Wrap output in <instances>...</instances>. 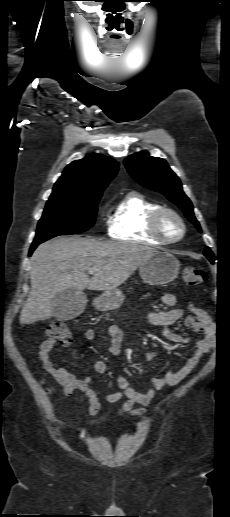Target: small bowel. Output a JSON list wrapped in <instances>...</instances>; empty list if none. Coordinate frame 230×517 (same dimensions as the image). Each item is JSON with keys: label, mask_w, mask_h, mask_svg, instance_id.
Segmentation results:
<instances>
[{"label": "small bowel", "mask_w": 230, "mask_h": 517, "mask_svg": "<svg viewBox=\"0 0 230 517\" xmlns=\"http://www.w3.org/2000/svg\"><path fill=\"white\" fill-rule=\"evenodd\" d=\"M161 302L168 306L169 309L150 314L149 323L160 328L161 335L166 340L181 345L188 344L191 341L190 337L183 336L169 329L171 324L182 318H184V325L196 334L201 335L202 338L195 342L193 353L180 369L169 371L164 376L154 377L151 380V388L145 391H137L123 374H119L117 377V384L121 389L120 392L103 393L95 389L94 381L91 377H78L59 366L50 358V353L57 345V341L51 337L41 343L40 349L36 354V360L41 362L43 368L62 386L65 396H71L76 390L84 393L88 400L89 413L92 417H97L101 413L102 399L109 403H116L122 398L126 399L122 405L123 412L133 416H141L146 411L145 407L151 404L157 391L165 387H175L183 382L216 345V325L205 310L189 302L187 305L189 314L185 316L184 309L174 307L176 297L173 294L163 295ZM107 334L110 339L107 351L118 358L121 353L124 331L121 327L113 325L108 328ZM94 337L95 333L92 329L87 328L83 331L84 340L89 341L94 339ZM65 343L67 344V342ZM156 357L157 352L155 351H150L146 355L148 360H154ZM92 369L97 374H104L108 367L104 361L98 360L92 364ZM136 405L140 407L135 408Z\"/></svg>", "instance_id": "1"}]
</instances>
